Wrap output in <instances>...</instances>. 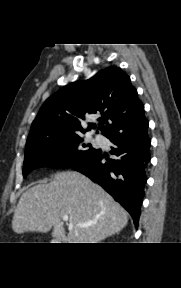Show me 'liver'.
Listing matches in <instances>:
<instances>
[{"label": "liver", "mask_w": 181, "mask_h": 288, "mask_svg": "<svg viewBox=\"0 0 181 288\" xmlns=\"http://www.w3.org/2000/svg\"><path fill=\"white\" fill-rule=\"evenodd\" d=\"M72 223L66 236L63 216ZM91 223L86 227L78 224ZM128 223L127 212L104 189L76 171L54 174L19 199L12 220L16 233L48 232L67 243H99L119 233Z\"/></svg>", "instance_id": "1"}]
</instances>
